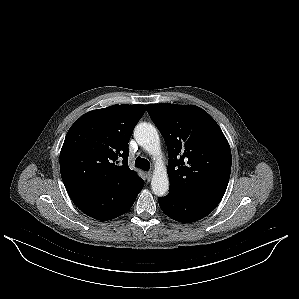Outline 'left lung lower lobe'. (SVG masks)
Here are the masks:
<instances>
[{"label":"left lung lower lobe","instance_id":"obj_1","mask_svg":"<svg viewBox=\"0 0 299 299\" xmlns=\"http://www.w3.org/2000/svg\"><path fill=\"white\" fill-rule=\"evenodd\" d=\"M224 194L203 190H170L159 198V206L170 218L190 223L204 218L220 203Z\"/></svg>","mask_w":299,"mask_h":299}]
</instances>
